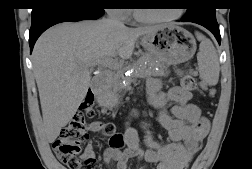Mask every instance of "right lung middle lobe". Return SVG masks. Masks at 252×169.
Wrapping results in <instances>:
<instances>
[{
	"label": "right lung middle lobe",
	"instance_id": "obj_1",
	"mask_svg": "<svg viewBox=\"0 0 252 169\" xmlns=\"http://www.w3.org/2000/svg\"><path fill=\"white\" fill-rule=\"evenodd\" d=\"M80 2L82 3H85V4H90V5H94V6H98V7H101L103 5V1L104 0H79ZM46 2V0H37V3L36 5H42Z\"/></svg>",
	"mask_w": 252,
	"mask_h": 169
}]
</instances>
